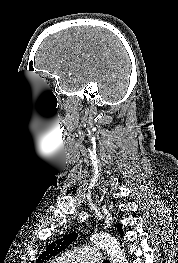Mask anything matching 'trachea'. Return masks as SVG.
I'll return each instance as SVG.
<instances>
[{
    "label": "trachea",
    "mask_w": 178,
    "mask_h": 263,
    "mask_svg": "<svg viewBox=\"0 0 178 263\" xmlns=\"http://www.w3.org/2000/svg\"><path fill=\"white\" fill-rule=\"evenodd\" d=\"M103 263H109V260H104Z\"/></svg>",
    "instance_id": "1"
}]
</instances>
